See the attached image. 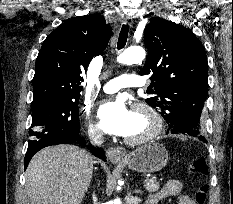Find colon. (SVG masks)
Returning <instances> with one entry per match:
<instances>
[{"label": "colon", "instance_id": "5ec220e1", "mask_svg": "<svg viewBox=\"0 0 233 204\" xmlns=\"http://www.w3.org/2000/svg\"><path fill=\"white\" fill-rule=\"evenodd\" d=\"M188 170L191 174L206 176L208 174L209 168L204 158H198L192 164H190ZM208 192L209 186L207 184L200 185L194 195L195 204H205L207 201Z\"/></svg>", "mask_w": 233, "mask_h": 204}]
</instances>
